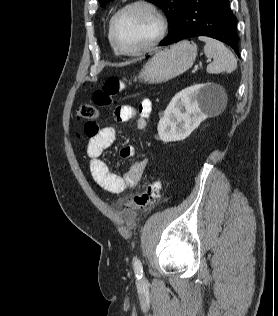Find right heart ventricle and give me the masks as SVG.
Wrapping results in <instances>:
<instances>
[{
    "label": "right heart ventricle",
    "instance_id": "1",
    "mask_svg": "<svg viewBox=\"0 0 278 316\" xmlns=\"http://www.w3.org/2000/svg\"><path fill=\"white\" fill-rule=\"evenodd\" d=\"M108 40H109V43H110V45H111V47H112L114 53H115V54H118V52L114 49V47H113V45H112V43H111L110 35H109V29H108Z\"/></svg>",
    "mask_w": 278,
    "mask_h": 316
}]
</instances>
